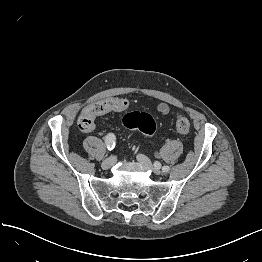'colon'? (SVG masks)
<instances>
[{
  "label": "colon",
  "instance_id": "5ec220e1",
  "mask_svg": "<svg viewBox=\"0 0 262 262\" xmlns=\"http://www.w3.org/2000/svg\"><path fill=\"white\" fill-rule=\"evenodd\" d=\"M95 111H102L108 107L113 111H125L129 107V102L125 99H107L97 102L93 105ZM81 130L88 131L94 126L92 114L89 111L83 112L78 120ZM122 124L127 129L138 130L144 135L151 137L156 132L154 119L148 113L131 112L126 114L122 119ZM176 129L181 136H186L190 131V123L185 116H178L176 120Z\"/></svg>",
  "mask_w": 262,
  "mask_h": 262
}]
</instances>
